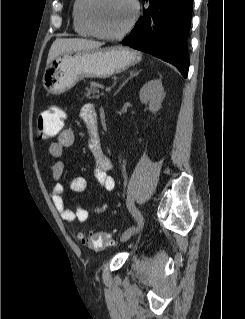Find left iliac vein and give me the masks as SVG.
<instances>
[{"instance_id":"left-iliac-vein-1","label":"left iliac vein","mask_w":245,"mask_h":319,"mask_svg":"<svg viewBox=\"0 0 245 319\" xmlns=\"http://www.w3.org/2000/svg\"><path fill=\"white\" fill-rule=\"evenodd\" d=\"M141 221L144 222L143 216H142ZM140 228H141V227H139V224H138V227H137V228L132 227V228H129L128 230H126V231L122 234V236H121V241H122V242H125V241H127L128 239H130V238L133 236V234L135 233V230L138 231V230H140Z\"/></svg>"}]
</instances>
